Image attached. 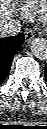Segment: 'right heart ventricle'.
Instances as JSON below:
<instances>
[{"label": "right heart ventricle", "instance_id": "right-heart-ventricle-1", "mask_svg": "<svg viewBox=\"0 0 47 129\" xmlns=\"http://www.w3.org/2000/svg\"><path fill=\"white\" fill-rule=\"evenodd\" d=\"M21 8L26 16L41 13L46 5V0H19Z\"/></svg>", "mask_w": 47, "mask_h": 129}]
</instances>
